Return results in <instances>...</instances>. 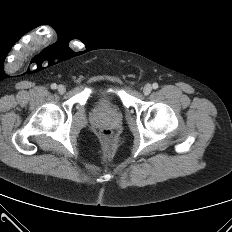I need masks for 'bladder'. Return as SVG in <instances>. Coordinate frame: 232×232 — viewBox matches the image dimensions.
<instances>
[{"instance_id": "bladder-1", "label": "bladder", "mask_w": 232, "mask_h": 232, "mask_svg": "<svg viewBox=\"0 0 232 232\" xmlns=\"http://www.w3.org/2000/svg\"><path fill=\"white\" fill-rule=\"evenodd\" d=\"M111 95H112L113 97H116V94H115V93H112Z\"/></svg>"}]
</instances>
